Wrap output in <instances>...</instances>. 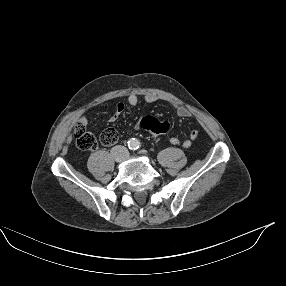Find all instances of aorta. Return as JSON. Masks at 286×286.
I'll use <instances>...</instances> for the list:
<instances>
[{"mask_svg": "<svg viewBox=\"0 0 286 286\" xmlns=\"http://www.w3.org/2000/svg\"><path fill=\"white\" fill-rule=\"evenodd\" d=\"M138 145H139V142H138V140H136V139H131V140L129 141V146H130L131 148H137Z\"/></svg>", "mask_w": 286, "mask_h": 286, "instance_id": "aorta-1", "label": "aorta"}]
</instances>
